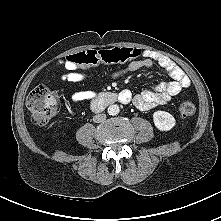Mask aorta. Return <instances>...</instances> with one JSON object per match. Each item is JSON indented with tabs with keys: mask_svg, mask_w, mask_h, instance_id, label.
Wrapping results in <instances>:
<instances>
[{
	"mask_svg": "<svg viewBox=\"0 0 221 221\" xmlns=\"http://www.w3.org/2000/svg\"><path fill=\"white\" fill-rule=\"evenodd\" d=\"M109 115H117L120 112V108L117 104L110 105L107 109Z\"/></svg>",
	"mask_w": 221,
	"mask_h": 221,
	"instance_id": "obj_1",
	"label": "aorta"
}]
</instances>
